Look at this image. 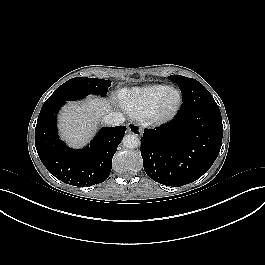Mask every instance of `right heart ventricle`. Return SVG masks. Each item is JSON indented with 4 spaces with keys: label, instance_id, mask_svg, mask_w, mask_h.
<instances>
[{
    "label": "right heart ventricle",
    "instance_id": "obj_1",
    "mask_svg": "<svg viewBox=\"0 0 265 265\" xmlns=\"http://www.w3.org/2000/svg\"><path fill=\"white\" fill-rule=\"evenodd\" d=\"M169 88L167 85L155 84L119 93L122 107L136 119H145L157 99Z\"/></svg>",
    "mask_w": 265,
    "mask_h": 265
}]
</instances>
